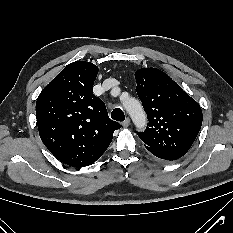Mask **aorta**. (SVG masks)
Here are the masks:
<instances>
[{"instance_id": "aorta-1", "label": "aorta", "mask_w": 233, "mask_h": 233, "mask_svg": "<svg viewBox=\"0 0 233 233\" xmlns=\"http://www.w3.org/2000/svg\"><path fill=\"white\" fill-rule=\"evenodd\" d=\"M124 107L131 116L137 129H144L146 126V116L140 102L134 98H131L124 103Z\"/></svg>"}]
</instances>
